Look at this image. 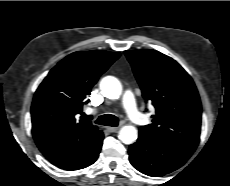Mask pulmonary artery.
Masks as SVG:
<instances>
[{
    "instance_id": "e3ab8cb5",
    "label": "pulmonary artery",
    "mask_w": 230,
    "mask_h": 186,
    "mask_svg": "<svg viewBox=\"0 0 230 186\" xmlns=\"http://www.w3.org/2000/svg\"><path fill=\"white\" fill-rule=\"evenodd\" d=\"M123 107L129 119L136 125H143L145 116L139 112L136 107L134 95L131 91L127 90L123 95Z\"/></svg>"
}]
</instances>
